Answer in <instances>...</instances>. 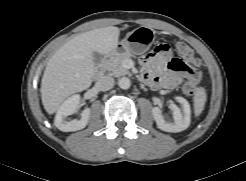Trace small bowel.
I'll return each mask as SVG.
<instances>
[{"instance_id":"c3829d8e","label":"small bowel","mask_w":246,"mask_h":181,"mask_svg":"<svg viewBox=\"0 0 246 181\" xmlns=\"http://www.w3.org/2000/svg\"><path fill=\"white\" fill-rule=\"evenodd\" d=\"M141 64L142 76L152 88H175L188 77L185 62L173 57L167 46L142 56Z\"/></svg>"}]
</instances>
